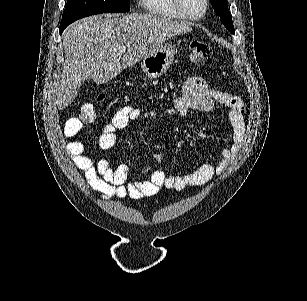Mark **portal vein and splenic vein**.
Masks as SVG:
<instances>
[{
  "label": "portal vein and splenic vein",
  "instance_id": "obj_1",
  "mask_svg": "<svg viewBox=\"0 0 307 301\" xmlns=\"http://www.w3.org/2000/svg\"><path fill=\"white\" fill-rule=\"evenodd\" d=\"M115 52H120V54H122V52H126V46H119V48H114Z\"/></svg>",
  "mask_w": 307,
  "mask_h": 301
}]
</instances>
